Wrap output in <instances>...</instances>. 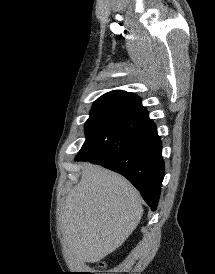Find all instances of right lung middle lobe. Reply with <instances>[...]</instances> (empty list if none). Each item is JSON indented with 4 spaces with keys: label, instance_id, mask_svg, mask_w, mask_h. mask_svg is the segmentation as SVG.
<instances>
[{
    "label": "right lung middle lobe",
    "instance_id": "dd1d6c3e",
    "mask_svg": "<svg viewBox=\"0 0 215 274\" xmlns=\"http://www.w3.org/2000/svg\"><path fill=\"white\" fill-rule=\"evenodd\" d=\"M147 112L95 102L85 123L86 141L75 160L110 161L153 125Z\"/></svg>",
    "mask_w": 215,
    "mask_h": 274
}]
</instances>
